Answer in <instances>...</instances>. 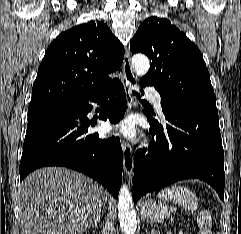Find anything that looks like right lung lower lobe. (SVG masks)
I'll use <instances>...</instances> for the list:
<instances>
[{
	"label": "right lung lower lobe",
	"mask_w": 241,
	"mask_h": 234,
	"mask_svg": "<svg viewBox=\"0 0 241 234\" xmlns=\"http://www.w3.org/2000/svg\"><path fill=\"white\" fill-rule=\"evenodd\" d=\"M89 102L102 106L100 119L116 124L124 116L127 102L123 85L115 80L91 98L66 107L29 114L20 180L45 166H65L90 176L118 196L123 171V154L118 137L90 133L94 124L87 114Z\"/></svg>",
	"instance_id": "obj_1"
}]
</instances>
